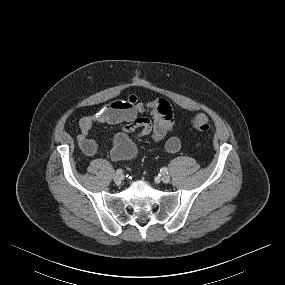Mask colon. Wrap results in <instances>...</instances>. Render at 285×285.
I'll use <instances>...</instances> for the list:
<instances>
[{
    "mask_svg": "<svg viewBox=\"0 0 285 285\" xmlns=\"http://www.w3.org/2000/svg\"><path fill=\"white\" fill-rule=\"evenodd\" d=\"M190 123L194 129H196L197 131H200V132H205L209 129V119L203 113L196 114L191 119Z\"/></svg>",
    "mask_w": 285,
    "mask_h": 285,
    "instance_id": "1",
    "label": "colon"
}]
</instances>
